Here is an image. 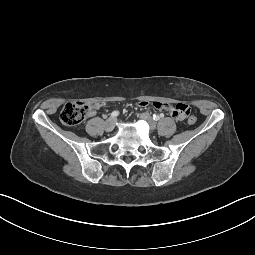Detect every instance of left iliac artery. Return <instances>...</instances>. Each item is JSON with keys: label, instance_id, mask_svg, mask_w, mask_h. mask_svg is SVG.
Masks as SVG:
<instances>
[{"label": "left iliac artery", "instance_id": "1", "mask_svg": "<svg viewBox=\"0 0 255 255\" xmlns=\"http://www.w3.org/2000/svg\"><path fill=\"white\" fill-rule=\"evenodd\" d=\"M153 119L156 120V121H158V120L160 119V116L154 114V115H153Z\"/></svg>", "mask_w": 255, "mask_h": 255}]
</instances>
